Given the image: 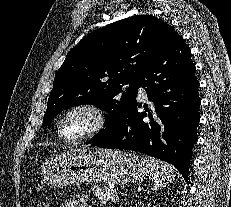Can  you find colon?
Masks as SVG:
<instances>
[{
    "label": "colon",
    "instance_id": "obj_1",
    "mask_svg": "<svg viewBox=\"0 0 231 207\" xmlns=\"http://www.w3.org/2000/svg\"><path fill=\"white\" fill-rule=\"evenodd\" d=\"M37 207H50V205L47 202H42Z\"/></svg>",
    "mask_w": 231,
    "mask_h": 207
}]
</instances>
